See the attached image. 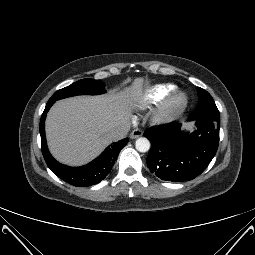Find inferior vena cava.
Segmentation results:
<instances>
[{"instance_id": "obj_1", "label": "inferior vena cava", "mask_w": 255, "mask_h": 255, "mask_svg": "<svg viewBox=\"0 0 255 255\" xmlns=\"http://www.w3.org/2000/svg\"><path fill=\"white\" fill-rule=\"evenodd\" d=\"M129 130V125H122L110 132V137L113 141H118L126 137Z\"/></svg>"}]
</instances>
